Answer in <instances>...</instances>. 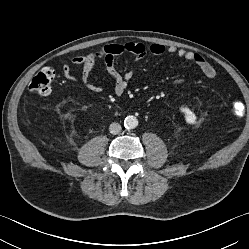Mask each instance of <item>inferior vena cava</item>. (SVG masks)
<instances>
[{"mask_svg": "<svg viewBox=\"0 0 249 249\" xmlns=\"http://www.w3.org/2000/svg\"><path fill=\"white\" fill-rule=\"evenodd\" d=\"M122 127L119 123L113 122L109 126V131L112 134H118L121 131Z\"/></svg>", "mask_w": 249, "mask_h": 249, "instance_id": "602c4592", "label": "inferior vena cava"}]
</instances>
